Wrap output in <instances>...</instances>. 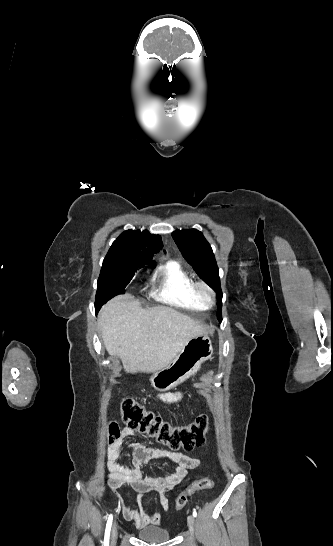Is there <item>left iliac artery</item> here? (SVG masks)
<instances>
[{
  "mask_svg": "<svg viewBox=\"0 0 333 546\" xmlns=\"http://www.w3.org/2000/svg\"><path fill=\"white\" fill-rule=\"evenodd\" d=\"M193 516L196 517L197 516V512L195 510H193Z\"/></svg>",
  "mask_w": 333,
  "mask_h": 546,
  "instance_id": "44dca946",
  "label": "left iliac artery"
}]
</instances>
